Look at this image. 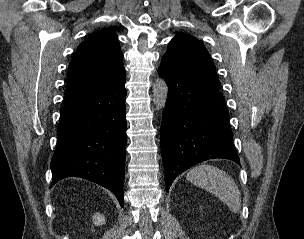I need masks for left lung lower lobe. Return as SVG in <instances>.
I'll use <instances>...</instances> for the list:
<instances>
[{
	"label": "left lung lower lobe",
	"instance_id": "1",
	"mask_svg": "<svg viewBox=\"0 0 304 239\" xmlns=\"http://www.w3.org/2000/svg\"><path fill=\"white\" fill-rule=\"evenodd\" d=\"M158 74L169 87L161 124L166 191L183 171L213 158L240 160L220 91L162 59Z\"/></svg>",
	"mask_w": 304,
	"mask_h": 239
}]
</instances>
